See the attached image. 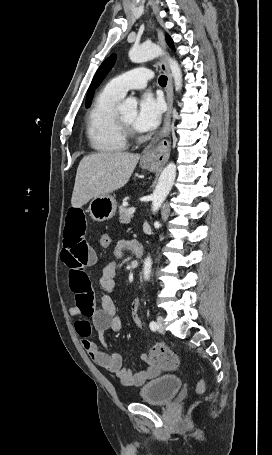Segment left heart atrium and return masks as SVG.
<instances>
[{
    "mask_svg": "<svg viewBox=\"0 0 272 455\" xmlns=\"http://www.w3.org/2000/svg\"><path fill=\"white\" fill-rule=\"evenodd\" d=\"M164 111L163 101L151 93L142 95L134 120V128L139 132L154 130L160 123Z\"/></svg>",
    "mask_w": 272,
    "mask_h": 455,
    "instance_id": "1",
    "label": "left heart atrium"
}]
</instances>
